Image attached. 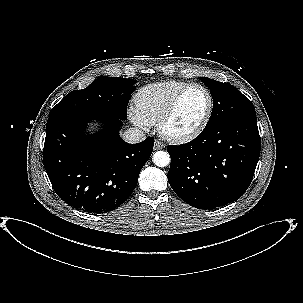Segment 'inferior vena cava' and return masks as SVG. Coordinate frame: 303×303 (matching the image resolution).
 <instances>
[{"label": "inferior vena cava", "instance_id": "inferior-vena-cava-1", "mask_svg": "<svg viewBox=\"0 0 303 303\" xmlns=\"http://www.w3.org/2000/svg\"><path fill=\"white\" fill-rule=\"evenodd\" d=\"M122 138L128 143L134 144L144 141L146 135L138 128H129L122 134Z\"/></svg>", "mask_w": 303, "mask_h": 303}]
</instances>
